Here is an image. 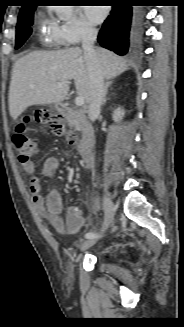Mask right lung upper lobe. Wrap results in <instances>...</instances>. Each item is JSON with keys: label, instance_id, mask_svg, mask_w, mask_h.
<instances>
[{"label": "right lung upper lobe", "instance_id": "1", "mask_svg": "<svg viewBox=\"0 0 184 327\" xmlns=\"http://www.w3.org/2000/svg\"><path fill=\"white\" fill-rule=\"evenodd\" d=\"M24 3H25V5L22 6V8L20 9V12L35 7V6H33L31 4L32 3V0H24Z\"/></svg>", "mask_w": 184, "mask_h": 327}]
</instances>
